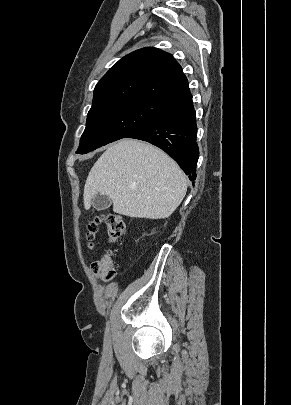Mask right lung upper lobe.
<instances>
[{
    "instance_id": "right-lung-upper-lobe-1",
    "label": "right lung upper lobe",
    "mask_w": 291,
    "mask_h": 405,
    "mask_svg": "<svg viewBox=\"0 0 291 405\" xmlns=\"http://www.w3.org/2000/svg\"><path fill=\"white\" fill-rule=\"evenodd\" d=\"M189 91L188 80L174 57L145 47L120 59L97 83L92 107L131 98L169 103Z\"/></svg>"
}]
</instances>
